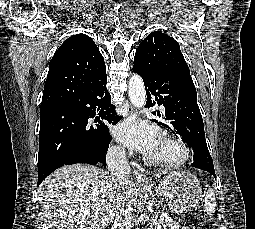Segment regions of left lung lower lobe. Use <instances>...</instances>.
Segmentation results:
<instances>
[{
  "instance_id": "1",
  "label": "left lung lower lobe",
  "mask_w": 255,
  "mask_h": 229,
  "mask_svg": "<svg viewBox=\"0 0 255 229\" xmlns=\"http://www.w3.org/2000/svg\"><path fill=\"white\" fill-rule=\"evenodd\" d=\"M133 71L142 76L147 103L146 107L158 105L165 107L167 123L156 121L175 134L188 138V145L194 150L192 167L211 173L215 178L212 157L208 151L204 124L197 104V92L193 81L168 72L143 71L133 65ZM152 96L155 100L152 101ZM161 117L159 112H152ZM164 176V175H162ZM161 176V177H162Z\"/></svg>"
}]
</instances>
